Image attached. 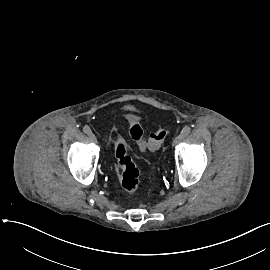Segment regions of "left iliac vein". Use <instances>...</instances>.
I'll use <instances>...</instances> for the list:
<instances>
[{
	"label": "left iliac vein",
	"mask_w": 270,
	"mask_h": 270,
	"mask_svg": "<svg viewBox=\"0 0 270 270\" xmlns=\"http://www.w3.org/2000/svg\"><path fill=\"white\" fill-rule=\"evenodd\" d=\"M184 139V136L182 134H179L173 141V146L179 144Z\"/></svg>",
	"instance_id": "obj_1"
}]
</instances>
